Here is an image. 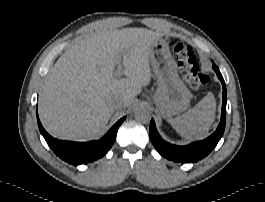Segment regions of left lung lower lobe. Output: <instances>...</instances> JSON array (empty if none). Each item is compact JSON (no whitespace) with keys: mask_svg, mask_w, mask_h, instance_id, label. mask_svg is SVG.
I'll return each instance as SVG.
<instances>
[{"mask_svg":"<svg viewBox=\"0 0 265 202\" xmlns=\"http://www.w3.org/2000/svg\"><path fill=\"white\" fill-rule=\"evenodd\" d=\"M213 69L223 86L221 121L217 130L205 140L193 142L186 146H176L164 141L160 137L157 132L155 122L152 119L150 122V139L156 150L165 158L181 163L197 162L207 156L221 139L226 124V85L218 67L215 64H213Z\"/></svg>","mask_w":265,"mask_h":202,"instance_id":"1","label":"left lung lower lobe"}]
</instances>
